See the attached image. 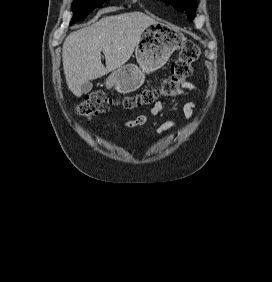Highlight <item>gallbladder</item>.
<instances>
[{
	"label": "gallbladder",
	"mask_w": 272,
	"mask_h": 282,
	"mask_svg": "<svg viewBox=\"0 0 272 282\" xmlns=\"http://www.w3.org/2000/svg\"><path fill=\"white\" fill-rule=\"evenodd\" d=\"M91 89H92V84L90 82L83 84L81 88L82 94H87L88 92L91 91Z\"/></svg>",
	"instance_id": "1"
}]
</instances>
